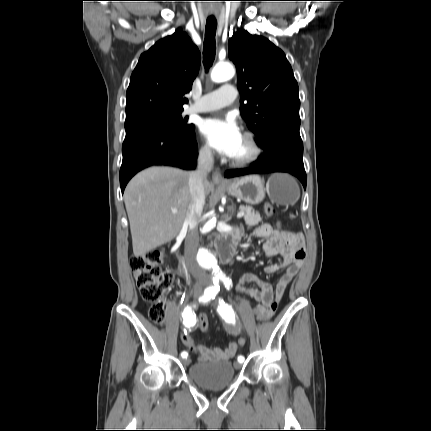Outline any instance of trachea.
Listing matches in <instances>:
<instances>
[{
  "label": "trachea",
  "mask_w": 431,
  "mask_h": 431,
  "mask_svg": "<svg viewBox=\"0 0 431 431\" xmlns=\"http://www.w3.org/2000/svg\"><path fill=\"white\" fill-rule=\"evenodd\" d=\"M217 21L214 17H209L206 21L205 39L203 48V64L206 71L212 66L216 54V35Z\"/></svg>",
  "instance_id": "trachea-1"
}]
</instances>
